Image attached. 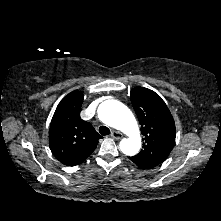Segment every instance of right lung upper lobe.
Segmentation results:
<instances>
[{
	"label": "right lung upper lobe",
	"instance_id": "1",
	"mask_svg": "<svg viewBox=\"0 0 221 221\" xmlns=\"http://www.w3.org/2000/svg\"><path fill=\"white\" fill-rule=\"evenodd\" d=\"M82 102L80 91L69 93L58 104L50 125V149L67 166L84 161L102 138L89 122L80 118Z\"/></svg>",
	"mask_w": 221,
	"mask_h": 221
}]
</instances>
